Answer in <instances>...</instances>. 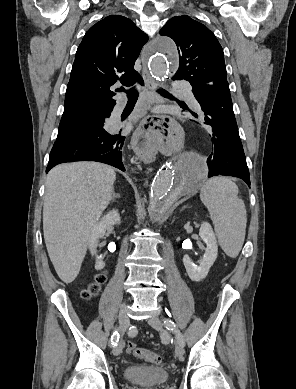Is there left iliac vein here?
<instances>
[{"label": "left iliac vein", "instance_id": "4c4485c4", "mask_svg": "<svg viewBox=\"0 0 296 389\" xmlns=\"http://www.w3.org/2000/svg\"><path fill=\"white\" fill-rule=\"evenodd\" d=\"M148 322L153 328L162 329L161 320L158 316L151 317ZM175 353L178 357H182L184 354V345L178 340L175 343Z\"/></svg>", "mask_w": 296, "mask_h": 389}]
</instances>
